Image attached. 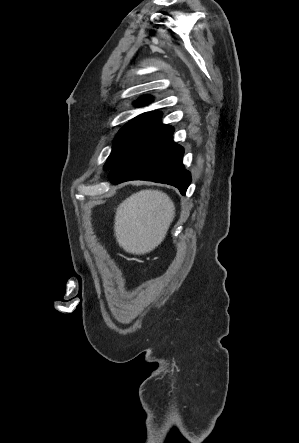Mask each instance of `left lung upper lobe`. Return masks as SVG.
Listing matches in <instances>:
<instances>
[{"label": "left lung upper lobe", "mask_w": 299, "mask_h": 443, "mask_svg": "<svg viewBox=\"0 0 299 443\" xmlns=\"http://www.w3.org/2000/svg\"><path fill=\"white\" fill-rule=\"evenodd\" d=\"M152 98L144 96L135 102L136 106H144L149 104ZM162 114L160 112H146L143 113L129 123H127L117 134L112 152L107 159L104 169H111L116 162L125 154V152L159 119Z\"/></svg>", "instance_id": "5c2ea615"}]
</instances>
